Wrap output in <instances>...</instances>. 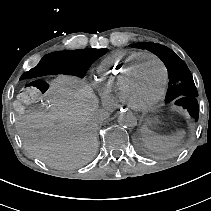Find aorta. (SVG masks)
Listing matches in <instances>:
<instances>
[{
    "instance_id": "obj_1",
    "label": "aorta",
    "mask_w": 211,
    "mask_h": 211,
    "mask_svg": "<svg viewBox=\"0 0 211 211\" xmlns=\"http://www.w3.org/2000/svg\"><path fill=\"white\" fill-rule=\"evenodd\" d=\"M118 123L123 127L134 128L137 125V118L132 112H124L119 115Z\"/></svg>"
}]
</instances>
